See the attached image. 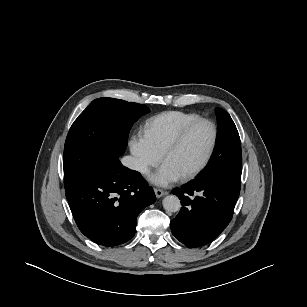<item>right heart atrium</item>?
Returning <instances> with one entry per match:
<instances>
[{
    "label": "right heart atrium",
    "instance_id": "1",
    "mask_svg": "<svg viewBox=\"0 0 307 307\" xmlns=\"http://www.w3.org/2000/svg\"><path fill=\"white\" fill-rule=\"evenodd\" d=\"M129 147L133 156L134 168L141 174L149 173L162 160V154L154 149L144 135L133 136Z\"/></svg>",
    "mask_w": 307,
    "mask_h": 307
}]
</instances>
